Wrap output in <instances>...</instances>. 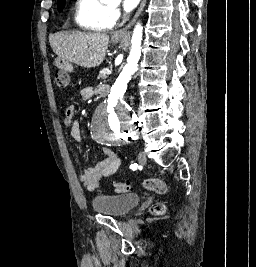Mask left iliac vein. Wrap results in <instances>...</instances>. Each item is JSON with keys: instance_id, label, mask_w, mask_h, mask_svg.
Instances as JSON below:
<instances>
[{"instance_id": "1", "label": "left iliac vein", "mask_w": 256, "mask_h": 267, "mask_svg": "<svg viewBox=\"0 0 256 267\" xmlns=\"http://www.w3.org/2000/svg\"><path fill=\"white\" fill-rule=\"evenodd\" d=\"M138 162L144 166L146 163H147V158H146V155L143 153V152H140L138 154Z\"/></svg>"}]
</instances>
